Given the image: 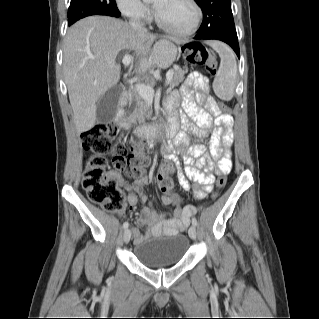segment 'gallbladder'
I'll return each instance as SVG.
<instances>
[{"instance_id":"bac80fb5","label":"gallbladder","mask_w":319,"mask_h":319,"mask_svg":"<svg viewBox=\"0 0 319 319\" xmlns=\"http://www.w3.org/2000/svg\"><path fill=\"white\" fill-rule=\"evenodd\" d=\"M123 87L116 85L105 92L102 98L96 104L97 123H109L116 116L118 101Z\"/></svg>"}]
</instances>
